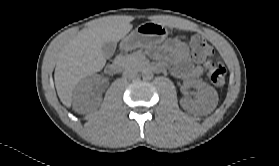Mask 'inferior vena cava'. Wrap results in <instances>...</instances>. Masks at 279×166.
Listing matches in <instances>:
<instances>
[{"instance_id": "602c4592", "label": "inferior vena cava", "mask_w": 279, "mask_h": 166, "mask_svg": "<svg viewBox=\"0 0 279 166\" xmlns=\"http://www.w3.org/2000/svg\"><path fill=\"white\" fill-rule=\"evenodd\" d=\"M138 75V72L134 69H129V70H126L124 73H123V76L125 78H129V79H133L135 77H137Z\"/></svg>"}]
</instances>
